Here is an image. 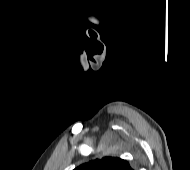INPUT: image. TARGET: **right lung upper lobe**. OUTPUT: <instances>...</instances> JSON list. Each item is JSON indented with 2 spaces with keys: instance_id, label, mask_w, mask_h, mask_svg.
<instances>
[{
  "instance_id": "cb5924a9",
  "label": "right lung upper lobe",
  "mask_w": 190,
  "mask_h": 170,
  "mask_svg": "<svg viewBox=\"0 0 190 170\" xmlns=\"http://www.w3.org/2000/svg\"><path fill=\"white\" fill-rule=\"evenodd\" d=\"M74 170H133L129 163L118 157H104L76 167Z\"/></svg>"
}]
</instances>
